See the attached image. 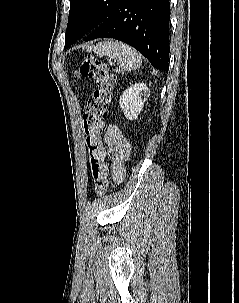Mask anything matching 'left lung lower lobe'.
Instances as JSON below:
<instances>
[{
    "instance_id": "1",
    "label": "left lung lower lobe",
    "mask_w": 239,
    "mask_h": 303,
    "mask_svg": "<svg viewBox=\"0 0 239 303\" xmlns=\"http://www.w3.org/2000/svg\"><path fill=\"white\" fill-rule=\"evenodd\" d=\"M169 0H119L110 15L84 41L107 37L128 43L151 64L168 72Z\"/></svg>"
}]
</instances>
